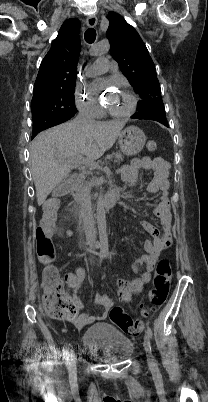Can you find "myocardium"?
Listing matches in <instances>:
<instances>
[{"label":"myocardium","instance_id":"myocardium-1","mask_svg":"<svg viewBox=\"0 0 208 402\" xmlns=\"http://www.w3.org/2000/svg\"><path fill=\"white\" fill-rule=\"evenodd\" d=\"M124 92H126L131 98V105L127 110H122V111L116 110L108 103L107 100H101L102 104H103V107L110 114H112V115H114L116 117H119V118H125V117L132 116L136 112V110L138 108V105H139V99H138L137 95L132 90H130L128 88H125Z\"/></svg>","mask_w":208,"mask_h":402}]
</instances>
